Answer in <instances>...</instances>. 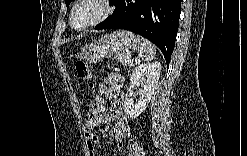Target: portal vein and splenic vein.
I'll return each instance as SVG.
<instances>
[{
	"label": "portal vein and splenic vein",
	"mask_w": 247,
	"mask_h": 156,
	"mask_svg": "<svg viewBox=\"0 0 247 156\" xmlns=\"http://www.w3.org/2000/svg\"><path fill=\"white\" fill-rule=\"evenodd\" d=\"M128 62H129L130 65H133V60L132 59H130Z\"/></svg>",
	"instance_id": "18ae733b"
}]
</instances>
